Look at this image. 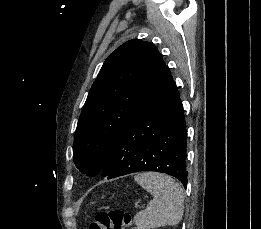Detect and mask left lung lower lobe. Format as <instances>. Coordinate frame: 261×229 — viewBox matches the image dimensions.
I'll return each instance as SVG.
<instances>
[{"label":"left lung lower lobe","mask_w":261,"mask_h":229,"mask_svg":"<svg viewBox=\"0 0 261 229\" xmlns=\"http://www.w3.org/2000/svg\"><path fill=\"white\" fill-rule=\"evenodd\" d=\"M187 130L172 77L159 87L123 129L100 171L107 179L157 171L187 185Z\"/></svg>","instance_id":"left-lung-lower-lobe-1"}]
</instances>
